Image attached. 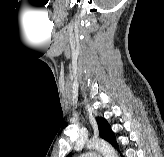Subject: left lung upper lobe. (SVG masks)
<instances>
[{
  "mask_svg": "<svg viewBox=\"0 0 164 157\" xmlns=\"http://www.w3.org/2000/svg\"><path fill=\"white\" fill-rule=\"evenodd\" d=\"M96 120L98 123L100 136L114 145L116 143V137L114 132L111 130L109 123L102 117H97ZM66 157H72V154H69Z\"/></svg>",
  "mask_w": 164,
  "mask_h": 157,
  "instance_id": "left-lung-upper-lobe-1",
  "label": "left lung upper lobe"
}]
</instances>
